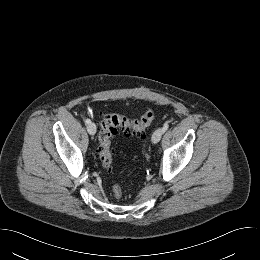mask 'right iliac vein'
Segmentation results:
<instances>
[{"instance_id":"63e3f726","label":"right iliac vein","mask_w":260,"mask_h":260,"mask_svg":"<svg viewBox=\"0 0 260 260\" xmlns=\"http://www.w3.org/2000/svg\"><path fill=\"white\" fill-rule=\"evenodd\" d=\"M87 131L90 135H95L96 133V126L94 123H89L88 126H87Z\"/></svg>"}]
</instances>
